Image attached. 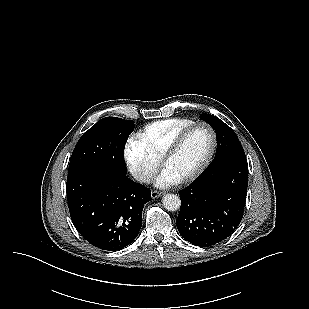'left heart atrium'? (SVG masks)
<instances>
[{
  "instance_id": "1",
  "label": "left heart atrium",
  "mask_w": 309,
  "mask_h": 309,
  "mask_svg": "<svg viewBox=\"0 0 309 309\" xmlns=\"http://www.w3.org/2000/svg\"><path fill=\"white\" fill-rule=\"evenodd\" d=\"M179 179L168 169L164 168L156 179V185L160 188H167L176 184Z\"/></svg>"
}]
</instances>
